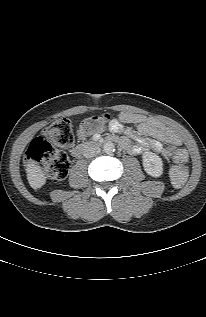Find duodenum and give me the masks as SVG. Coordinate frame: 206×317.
<instances>
[{"instance_id": "duodenum-1", "label": "duodenum", "mask_w": 206, "mask_h": 317, "mask_svg": "<svg viewBox=\"0 0 206 317\" xmlns=\"http://www.w3.org/2000/svg\"><path fill=\"white\" fill-rule=\"evenodd\" d=\"M108 142H119V143H123L122 139H119L117 137L111 136L108 137L107 139L105 137H102L101 139H94L92 141L89 142H85L82 144H79L77 146H75L71 153L74 157H80L82 154H84L85 152H87L88 150L94 148L95 146H97L99 143L102 146H105Z\"/></svg>"}]
</instances>
